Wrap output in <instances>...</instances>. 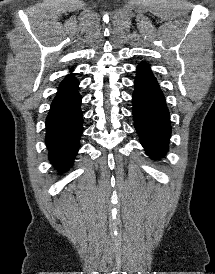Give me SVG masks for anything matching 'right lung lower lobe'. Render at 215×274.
<instances>
[{
  "instance_id": "1",
  "label": "right lung lower lobe",
  "mask_w": 215,
  "mask_h": 274,
  "mask_svg": "<svg viewBox=\"0 0 215 274\" xmlns=\"http://www.w3.org/2000/svg\"><path fill=\"white\" fill-rule=\"evenodd\" d=\"M82 98L78 88L68 96L53 101L46 118V145L50 162L61 171L67 170L79 149L83 132Z\"/></svg>"
}]
</instances>
